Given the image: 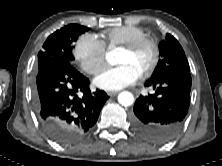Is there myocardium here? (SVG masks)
I'll return each mask as SVG.
<instances>
[{
  "instance_id": "f54148a6",
  "label": "myocardium",
  "mask_w": 222,
  "mask_h": 166,
  "mask_svg": "<svg viewBox=\"0 0 222 166\" xmlns=\"http://www.w3.org/2000/svg\"><path fill=\"white\" fill-rule=\"evenodd\" d=\"M143 47H149L152 51V58L149 65L141 72L142 76H147L155 70L159 62L160 50L156 41L145 37L123 46V50L129 53H135Z\"/></svg>"
}]
</instances>
